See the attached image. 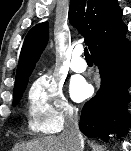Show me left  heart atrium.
<instances>
[{
    "instance_id": "left-heart-atrium-1",
    "label": "left heart atrium",
    "mask_w": 131,
    "mask_h": 151,
    "mask_svg": "<svg viewBox=\"0 0 131 151\" xmlns=\"http://www.w3.org/2000/svg\"><path fill=\"white\" fill-rule=\"evenodd\" d=\"M70 92L74 100L81 101L89 95L90 89L83 80H75L71 83Z\"/></svg>"
}]
</instances>
